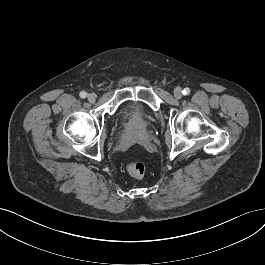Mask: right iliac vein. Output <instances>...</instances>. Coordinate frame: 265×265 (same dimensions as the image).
<instances>
[{
	"mask_svg": "<svg viewBox=\"0 0 265 265\" xmlns=\"http://www.w3.org/2000/svg\"><path fill=\"white\" fill-rule=\"evenodd\" d=\"M87 99L90 103H94L96 101V97L94 94H89Z\"/></svg>",
	"mask_w": 265,
	"mask_h": 265,
	"instance_id": "right-iliac-vein-1",
	"label": "right iliac vein"
}]
</instances>
